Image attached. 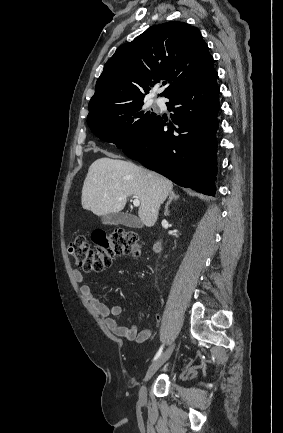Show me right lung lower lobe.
<instances>
[{"label": "right lung lower lobe", "instance_id": "1", "mask_svg": "<svg viewBox=\"0 0 283 433\" xmlns=\"http://www.w3.org/2000/svg\"><path fill=\"white\" fill-rule=\"evenodd\" d=\"M217 74L169 95L172 122L156 115L142 137L123 152L183 187L214 195L219 87ZM167 126V127H166Z\"/></svg>", "mask_w": 283, "mask_h": 433}]
</instances>
